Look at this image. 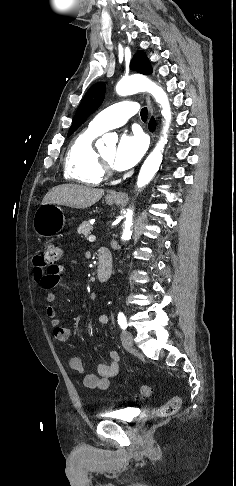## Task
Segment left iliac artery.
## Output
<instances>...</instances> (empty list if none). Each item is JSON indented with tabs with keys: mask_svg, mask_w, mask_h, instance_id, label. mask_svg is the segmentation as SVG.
<instances>
[{
	"mask_svg": "<svg viewBox=\"0 0 236 486\" xmlns=\"http://www.w3.org/2000/svg\"><path fill=\"white\" fill-rule=\"evenodd\" d=\"M118 324L123 330L127 328L126 317L122 312L118 313Z\"/></svg>",
	"mask_w": 236,
	"mask_h": 486,
	"instance_id": "1",
	"label": "left iliac artery"
}]
</instances>
